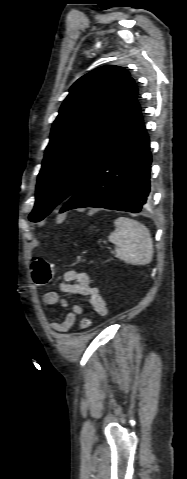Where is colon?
<instances>
[{
  "instance_id": "1",
  "label": "colon",
  "mask_w": 187,
  "mask_h": 479,
  "mask_svg": "<svg viewBox=\"0 0 187 479\" xmlns=\"http://www.w3.org/2000/svg\"><path fill=\"white\" fill-rule=\"evenodd\" d=\"M30 269L32 278L37 285H45L50 282L54 265L41 257L34 256L30 260ZM92 325V320L89 317H83L80 321L81 329H88Z\"/></svg>"
}]
</instances>
